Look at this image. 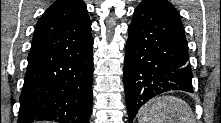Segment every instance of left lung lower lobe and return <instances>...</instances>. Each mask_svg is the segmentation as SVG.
<instances>
[{
  "mask_svg": "<svg viewBox=\"0 0 221 123\" xmlns=\"http://www.w3.org/2000/svg\"><path fill=\"white\" fill-rule=\"evenodd\" d=\"M124 63L127 110L132 122L149 99L170 91L193 92L188 45L182 22L142 1L128 27Z\"/></svg>",
  "mask_w": 221,
  "mask_h": 123,
  "instance_id": "left-lung-lower-lobe-1",
  "label": "left lung lower lobe"
}]
</instances>
